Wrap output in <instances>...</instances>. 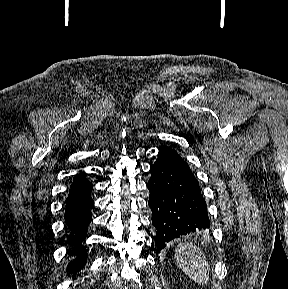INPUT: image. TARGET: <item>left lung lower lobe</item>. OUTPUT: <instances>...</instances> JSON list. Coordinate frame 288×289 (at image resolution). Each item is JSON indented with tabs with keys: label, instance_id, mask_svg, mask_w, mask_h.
Masks as SVG:
<instances>
[{
	"label": "left lung lower lobe",
	"instance_id": "1",
	"mask_svg": "<svg viewBox=\"0 0 288 289\" xmlns=\"http://www.w3.org/2000/svg\"><path fill=\"white\" fill-rule=\"evenodd\" d=\"M150 172L148 204L158 252L172 239L210 226L199 183L175 150L162 148Z\"/></svg>",
	"mask_w": 288,
	"mask_h": 289
}]
</instances>
